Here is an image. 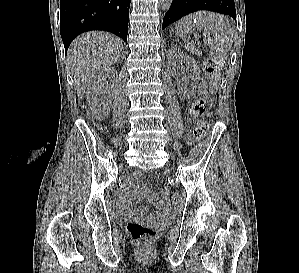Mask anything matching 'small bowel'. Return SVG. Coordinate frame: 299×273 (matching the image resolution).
<instances>
[{"label": "small bowel", "mask_w": 299, "mask_h": 273, "mask_svg": "<svg viewBox=\"0 0 299 273\" xmlns=\"http://www.w3.org/2000/svg\"><path fill=\"white\" fill-rule=\"evenodd\" d=\"M140 198H145L154 204L157 220H168L171 218L172 215L168 207V191L164 189L160 195H157L142 186L137 193L126 192L122 196L120 201V211L122 214L126 217H140L152 220L153 217L148 214L147 207L143 206L135 210L130 208V204Z\"/></svg>", "instance_id": "c3829d8e"}]
</instances>
